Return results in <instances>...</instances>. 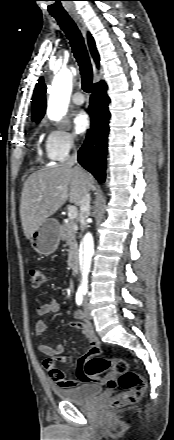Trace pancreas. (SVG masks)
I'll list each match as a JSON object with an SVG mask.
<instances>
[{
	"mask_svg": "<svg viewBox=\"0 0 174 440\" xmlns=\"http://www.w3.org/2000/svg\"><path fill=\"white\" fill-rule=\"evenodd\" d=\"M78 225L71 219H66L60 226V237L65 240L69 246V257H73L77 253L76 233Z\"/></svg>",
	"mask_w": 174,
	"mask_h": 440,
	"instance_id": "1",
	"label": "pancreas"
}]
</instances>
